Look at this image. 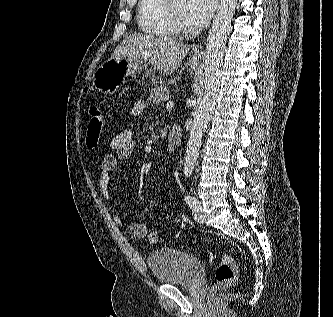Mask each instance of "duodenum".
<instances>
[{
    "mask_svg": "<svg viewBox=\"0 0 333 317\" xmlns=\"http://www.w3.org/2000/svg\"><path fill=\"white\" fill-rule=\"evenodd\" d=\"M182 129L178 124H172L168 131L167 150L169 153H175L181 144Z\"/></svg>",
    "mask_w": 333,
    "mask_h": 317,
    "instance_id": "410a0bca",
    "label": "duodenum"
}]
</instances>
